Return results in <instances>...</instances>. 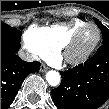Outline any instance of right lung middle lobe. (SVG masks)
Masks as SVG:
<instances>
[{"mask_svg":"<svg viewBox=\"0 0 109 109\" xmlns=\"http://www.w3.org/2000/svg\"><path fill=\"white\" fill-rule=\"evenodd\" d=\"M22 28H19V30L10 27L9 25L1 22V36L5 37L13 42L20 43V37H21V30Z\"/></svg>","mask_w":109,"mask_h":109,"instance_id":"right-lung-middle-lobe-1","label":"right lung middle lobe"}]
</instances>
